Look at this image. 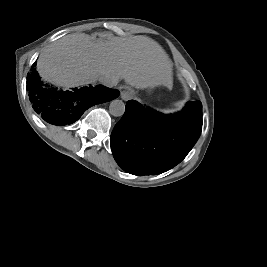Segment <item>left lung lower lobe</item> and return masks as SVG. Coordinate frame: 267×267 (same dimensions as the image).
Masks as SVG:
<instances>
[{
    "label": "left lung lower lobe",
    "instance_id": "obj_1",
    "mask_svg": "<svg viewBox=\"0 0 267 267\" xmlns=\"http://www.w3.org/2000/svg\"><path fill=\"white\" fill-rule=\"evenodd\" d=\"M201 127L200 101L188 102L181 112L164 115L129 100L112 131L110 145L116 162L126 172L156 175L186 157L198 140Z\"/></svg>",
    "mask_w": 267,
    "mask_h": 267
}]
</instances>
